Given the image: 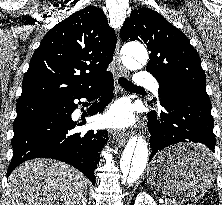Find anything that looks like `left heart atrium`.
<instances>
[{"mask_svg": "<svg viewBox=\"0 0 222 205\" xmlns=\"http://www.w3.org/2000/svg\"><path fill=\"white\" fill-rule=\"evenodd\" d=\"M132 122V111L125 103L115 104L103 118L104 125L113 128L128 127Z\"/></svg>", "mask_w": 222, "mask_h": 205, "instance_id": "1", "label": "left heart atrium"}]
</instances>
